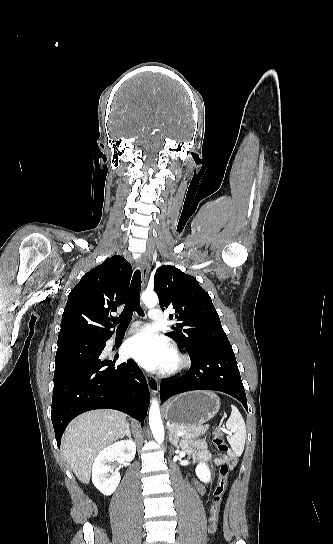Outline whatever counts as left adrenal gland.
<instances>
[{"label":"left adrenal gland","instance_id":"a2214340","mask_svg":"<svg viewBox=\"0 0 333 544\" xmlns=\"http://www.w3.org/2000/svg\"><path fill=\"white\" fill-rule=\"evenodd\" d=\"M169 440L175 447L177 448L179 447L178 445L179 437L175 433L169 432Z\"/></svg>","mask_w":333,"mask_h":544}]
</instances>
